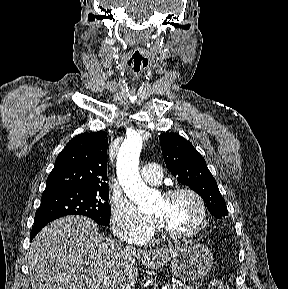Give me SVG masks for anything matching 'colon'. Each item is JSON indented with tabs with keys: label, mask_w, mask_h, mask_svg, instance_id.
Here are the masks:
<instances>
[{
	"label": "colon",
	"mask_w": 288,
	"mask_h": 289,
	"mask_svg": "<svg viewBox=\"0 0 288 289\" xmlns=\"http://www.w3.org/2000/svg\"><path fill=\"white\" fill-rule=\"evenodd\" d=\"M209 289H229L225 280L219 277H215L209 282Z\"/></svg>",
	"instance_id": "obj_1"
}]
</instances>
